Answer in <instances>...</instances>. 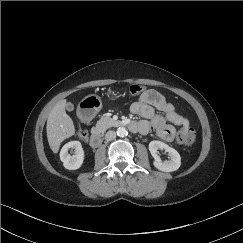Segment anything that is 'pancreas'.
Wrapping results in <instances>:
<instances>
[{
    "label": "pancreas",
    "mask_w": 243,
    "mask_h": 243,
    "mask_svg": "<svg viewBox=\"0 0 243 243\" xmlns=\"http://www.w3.org/2000/svg\"><path fill=\"white\" fill-rule=\"evenodd\" d=\"M114 125H115V121L111 117L104 116L97 121L95 130L100 133H104L108 128Z\"/></svg>",
    "instance_id": "cf45deb5"
}]
</instances>
